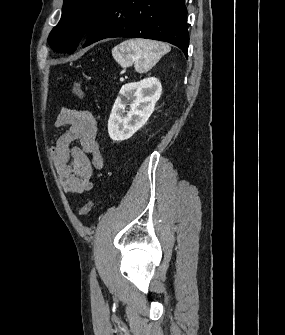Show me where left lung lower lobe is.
I'll list each match as a JSON object with an SVG mask.
<instances>
[{
  "label": "left lung lower lobe",
  "mask_w": 285,
  "mask_h": 335,
  "mask_svg": "<svg viewBox=\"0 0 285 335\" xmlns=\"http://www.w3.org/2000/svg\"><path fill=\"white\" fill-rule=\"evenodd\" d=\"M112 37L169 42L187 57L185 0H110L87 33L83 47Z\"/></svg>",
  "instance_id": "1"
}]
</instances>
